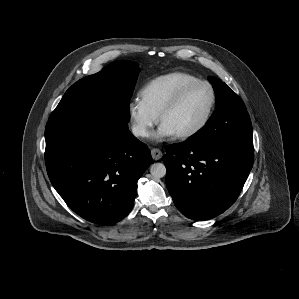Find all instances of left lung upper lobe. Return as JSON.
<instances>
[{"label":"left lung upper lobe","mask_w":299,"mask_h":299,"mask_svg":"<svg viewBox=\"0 0 299 299\" xmlns=\"http://www.w3.org/2000/svg\"><path fill=\"white\" fill-rule=\"evenodd\" d=\"M216 94L215 111L197 133L189 137L196 143H253L252 124L242 99L224 82L209 76Z\"/></svg>","instance_id":"5c2ea615"}]
</instances>
